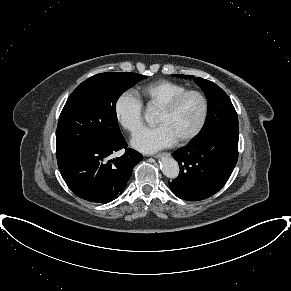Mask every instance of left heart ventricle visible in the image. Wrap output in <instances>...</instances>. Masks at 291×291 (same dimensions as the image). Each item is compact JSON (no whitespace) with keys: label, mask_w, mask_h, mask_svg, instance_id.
<instances>
[{"label":"left heart ventricle","mask_w":291,"mask_h":291,"mask_svg":"<svg viewBox=\"0 0 291 291\" xmlns=\"http://www.w3.org/2000/svg\"><path fill=\"white\" fill-rule=\"evenodd\" d=\"M202 112V103L195 95L184 98L171 113L158 112L157 125L166 126L177 140L185 137L197 126Z\"/></svg>","instance_id":"obj_1"}]
</instances>
